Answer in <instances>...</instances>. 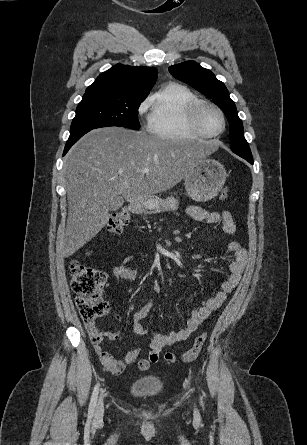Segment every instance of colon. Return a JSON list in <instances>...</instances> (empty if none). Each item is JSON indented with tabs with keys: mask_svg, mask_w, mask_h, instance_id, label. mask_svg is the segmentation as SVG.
Masks as SVG:
<instances>
[{
	"mask_svg": "<svg viewBox=\"0 0 307 445\" xmlns=\"http://www.w3.org/2000/svg\"><path fill=\"white\" fill-rule=\"evenodd\" d=\"M229 196V189L223 188L220 192L219 198L226 200ZM130 216L127 212L121 211L114 214L108 224V229L111 233L119 234L124 227L129 223ZM70 274L72 276L71 287L77 295V307L86 323H92L97 318L102 317L108 313V304L103 298V288L106 283V275L104 272L95 268L81 264L78 261H72L69 265ZM207 339V333L199 334L192 345V347L185 352L181 359L183 362H192L198 358ZM168 363H176L179 357L167 352L164 356Z\"/></svg>",
	"mask_w": 307,
	"mask_h": 445,
	"instance_id": "1",
	"label": "colon"
}]
</instances>
